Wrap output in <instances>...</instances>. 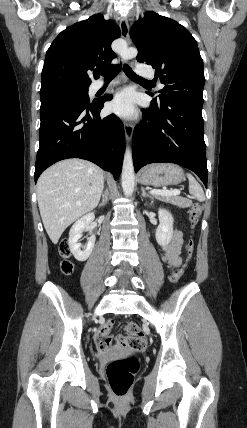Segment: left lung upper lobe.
Returning <instances> with one entry per match:
<instances>
[{
  "label": "left lung upper lobe",
  "instance_id": "1",
  "mask_svg": "<svg viewBox=\"0 0 247 428\" xmlns=\"http://www.w3.org/2000/svg\"><path fill=\"white\" fill-rule=\"evenodd\" d=\"M131 35L138 49L137 61L152 65L165 85L159 91V101L185 96L203 102V60L196 40L187 29L172 19L148 11L131 28Z\"/></svg>",
  "mask_w": 247,
  "mask_h": 428
}]
</instances>
